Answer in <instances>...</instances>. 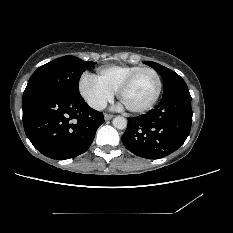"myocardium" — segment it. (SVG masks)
<instances>
[{
	"instance_id": "obj_1",
	"label": "myocardium",
	"mask_w": 233,
	"mask_h": 233,
	"mask_svg": "<svg viewBox=\"0 0 233 233\" xmlns=\"http://www.w3.org/2000/svg\"><path fill=\"white\" fill-rule=\"evenodd\" d=\"M144 72H152L155 77H156V81H157V88H156V92L154 97L151 99V101H149L146 105L142 106V107H137V108H133V107H125L129 112L131 113H143L145 111H148L149 109H151L156 102L158 101L161 91H162V80H161V76L159 74V72L151 67H143L137 71H135L134 73H132L118 88L117 90V98L118 100L121 102L122 99V95L123 93L135 82V80Z\"/></svg>"
}]
</instances>
